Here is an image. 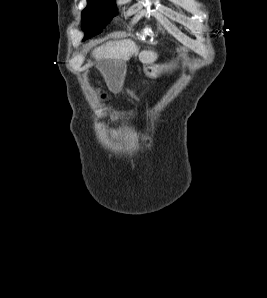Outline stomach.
Returning <instances> with one entry per match:
<instances>
[{"label":"stomach","instance_id":"obj_1","mask_svg":"<svg viewBox=\"0 0 267 298\" xmlns=\"http://www.w3.org/2000/svg\"><path fill=\"white\" fill-rule=\"evenodd\" d=\"M171 67V66H170ZM169 65H146L143 68L145 75L149 78H157L163 71L170 68Z\"/></svg>","mask_w":267,"mask_h":298}]
</instances>
